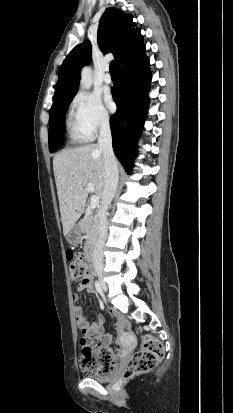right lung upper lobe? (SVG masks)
Returning a JSON list of instances; mask_svg holds the SVG:
<instances>
[{
    "instance_id": "1",
    "label": "right lung upper lobe",
    "mask_w": 233,
    "mask_h": 413,
    "mask_svg": "<svg viewBox=\"0 0 233 413\" xmlns=\"http://www.w3.org/2000/svg\"><path fill=\"white\" fill-rule=\"evenodd\" d=\"M97 41L103 53L112 52L117 66L143 45L141 30L136 28L132 16L111 7L103 13L98 27ZM91 45L89 41L77 45L63 61L53 97V104L74 97L78 91L79 71L89 64Z\"/></svg>"
}]
</instances>
